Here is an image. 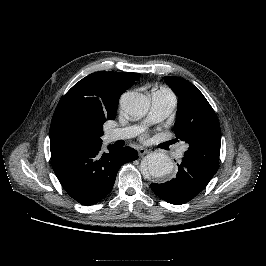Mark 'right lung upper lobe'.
Listing matches in <instances>:
<instances>
[{
	"label": "right lung upper lobe",
	"instance_id": "cb5924a9",
	"mask_svg": "<svg viewBox=\"0 0 266 266\" xmlns=\"http://www.w3.org/2000/svg\"><path fill=\"white\" fill-rule=\"evenodd\" d=\"M139 77V73L100 71L76 83L54 112L50 149L102 142L103 124L115 119L121 94Z\"/></svg>",
	"mask_w": 266,
	"mask_h": 266
}]
</instances>
